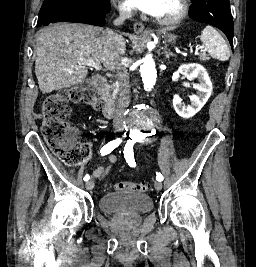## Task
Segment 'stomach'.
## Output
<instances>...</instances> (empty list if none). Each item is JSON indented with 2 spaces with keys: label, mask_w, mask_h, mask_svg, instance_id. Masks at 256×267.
Masks as SVG:
<instances>
[{
  "label": "stomach",
  "mask_w": 256,
  "mask_h": 267,
  "mask_svg": "<svg viewBox=\"0 0 256 267\" xmlns=\"http://www.w3.org/2000/svg\"><path fill=\"white\" fill-rule=\"evenodd\" d=\"M163 38L165 42H172V44H174V42H176L177 36H175V34H170V32H164Z\"/></svg>",
  "instance_id": "1"
}]
</instances>
